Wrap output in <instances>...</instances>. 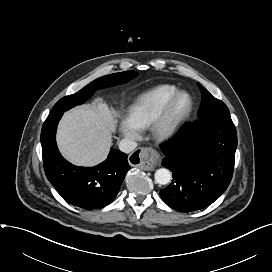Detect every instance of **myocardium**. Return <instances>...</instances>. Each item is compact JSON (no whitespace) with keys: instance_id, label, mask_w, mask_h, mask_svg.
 <instances>
[{"instance_id":"f54148a6","label":"myocardium","mask_w":272,"mask_h":272,"mask_svg":"<svg viewBox=\"0 0 272 272\" xmlns=\"http://www.w3.org/2000/svg\"><path fill=\"white\" fill-rule=\"evenodd\" d=\"M182 96H186L188 98V105L183 112L177 113L176 105ZM193 107L194 100L192 95L185 90H178L170 98L161 114L153 123L154 135L160 140H168L173 138L189 118Z\"/></svg>"}]
</instances>
